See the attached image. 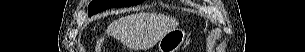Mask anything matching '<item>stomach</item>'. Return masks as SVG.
Segmentation results:
<instances>
[{
	"label": "stomach",
	"mask_w": 305,
	"mask_h": 52,
	"mask_svg": "<svg viewBox=\"0 0 305 52\" xmlns=\"http://www.w3.org/2000/svg\"><path fill=\"white\" fill-rule=\"evenodd\" d=\"M186 39L183 28H174L163 35L157 44V52H177Z\"/></svg>",
	"instance_id": "obj_1"
}]
</instances>
